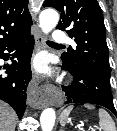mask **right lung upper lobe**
<instances>
[{
	"label": "right lung upper lobe",
	"mask_w": 117,
	"mask_h": 131,
	"mask_svg": "<svg viewBox=\"0 0 117 131\" xmlns=\"http://www.w3.org/2000/svg\"><path fill=\"white\" fill-rule=\"evenodd\" d=\"M28 0H0V46L30 32Z\"/></svg>",
	"instance_id": "obj_1"
}]
</instances>
